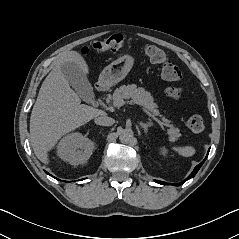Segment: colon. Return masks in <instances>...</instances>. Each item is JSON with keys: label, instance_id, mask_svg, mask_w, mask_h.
Wrapping results in <instances>:
<instances>
[{"label": "colon", "instance_id": "colon-1", "mask_svg": "<svg viewBox=\"0 0 239 239\" xmlns=\"http://www.w3.org/2000/svg\"><path fill=\"white\" fill-rule=\"evenodd\" d=\"M130 45V39L116 34L103 40L95 41L90 45L83 46L81 53L87 55L92 50L98 53L116 52L127 49ZM145 55L152 63L160 65L161 77L165 81L172 83V85L165 90L166 98L173 101L179 100L183 95L182 86L177 84L181 79L179 66L173 60L169 59L163 50L156 46H147L145 48ZM187 126L193 133H201L205 128L204 118L199 114H193L189 117Z\"/></svg>", "mask_w": 239, "mask_h": 239}]
</instances>
